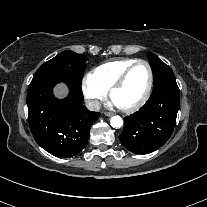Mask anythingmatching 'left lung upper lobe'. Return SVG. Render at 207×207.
<instances>
[{
  "instance_id": "left-lung-upper-lobe-1",
  "label": "left lung upper lobe",
  "mask_w": 207,
  "mask_h": 207,
  "mask_svg": "<svg viewBox=\"0 0 207 207\" xmlns=\"http://www.w3.org/2000/svg\"><path fill=\"white\" fill-rule=\"evenodd\" d=\"M154 73V91L171 84H177L172 69L155 54L148 52L147 55Z\"/></svg>"
}]
</instances>
